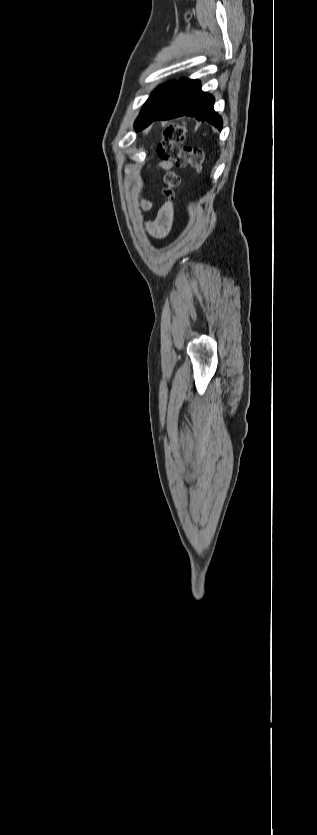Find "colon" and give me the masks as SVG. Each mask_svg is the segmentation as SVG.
Here are the masks:
<instances>
[{
  "label": "colon",
  "instance_id": "obj_1",
  "mask_svg": "<svg viewBox=\"0 0 317 835\" xmlns=\"http://www.w3.org/2000/svg\"><path fill=\"white\" fill-rule=\"evenodd\" d=\"M186 129L182 124H172L165 128L162 140L157 146V155L164 162H174L178 167H191L197 172L204 168V152L200 148L181 146L185 139ZM180 184V178L174 172L165 176L163 194L168 200H173Z\"/></svg>",
  "mask_w": 317,
  "mask_h": 835
}]
</instances>
